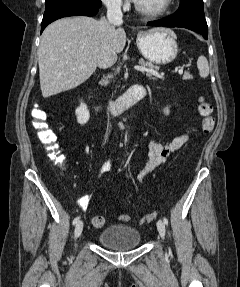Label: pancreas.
I'll return each instance as SVG.
<instances>
[{
  "mask_svg": "<svg viewBox=\"0 0 240 287\" xmlns=\"http://www.w3.org/2000/svg\"><path fill=\"white\" fill-rule=\"evenodd\" d=\"M139 64L141 66H144L145 68H148V69H151V70H154V71H157L159 69L157 66L153 65L151 62H146L143 59L139 60ZM146 75L152 80L155 79L154 77H152L153 76L152 73H147ZM112 78H113V75L110 74L107 77H105L104 79H102L100 84L101 85H107L110 82V79H112ZM188 79H192V75L189 72H185L183 74V80H188Z\"/></svg>",
  "mask_w": 240,
  "mask_h": 287,
  "instance_id": "obj_1",
  "label": "pancreas"
}]
</instances>
